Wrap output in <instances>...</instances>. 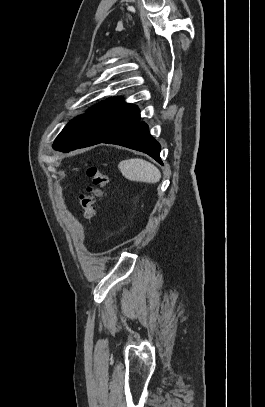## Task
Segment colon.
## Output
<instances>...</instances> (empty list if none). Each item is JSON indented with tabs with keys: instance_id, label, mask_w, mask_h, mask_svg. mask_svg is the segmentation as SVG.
Returning <instances> with one entry per match:
<instances>
[{
	"instance_id": "1",
	"label": "colon",
	"mask_w": 265,
	"mask_h": 407,
	"mask_svg": "<svg viewBox=\"0 0 265 407\" xmlns=\"http://www.w3.org/2000/svg\"><path fill=\"white\" fill-rule=\"evenodd\" d=\"M86 174L91 182L85 193L80 196L83 209L84 222L90 225L96 214V202L105 196V188L108 184L107 175L96 165H88Z\"/></svg>"
}]
</instances>
